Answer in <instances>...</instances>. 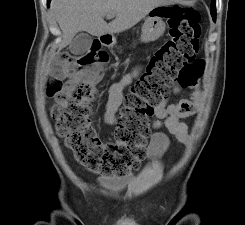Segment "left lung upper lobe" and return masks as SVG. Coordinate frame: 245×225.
<instances>
[{"label":"left lung upper lobe","instance_id":"obj_1","mask_svg":"<svg viewBox=\"0 0 245 225\" xmlns=\"http://www.w3.org/2000/svg\"><path fill=\"white\" fill-rule=\"evenodd\" d=\"M211 1H212V4H211V15H212L213 20L215 21V19H216V9H215L216 0H211Z\"/></svg>","mask_w":245,"mask_h":225}]
</instances>
